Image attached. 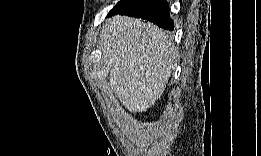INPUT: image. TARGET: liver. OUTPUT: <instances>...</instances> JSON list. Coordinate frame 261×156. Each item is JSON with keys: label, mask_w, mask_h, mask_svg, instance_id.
I'll return each mask as SVG.
<instances>
[{"label": "liver", "mask_w": 261, "mask_h": 156, "mask_svg": "<svg viewBox=\"0 0 261 156\" xmlns=\"http://www.w3.org/2000/svg\"><path fill=\"white\" fill-rule=\"evenodd\" d=\"M99 47L109 85L132 113L146 111L162 96L173 70L176 49L152 23L116 16L103 26Z\"/></svg>", "instance_id": "6515ba94"}]
</instances>
